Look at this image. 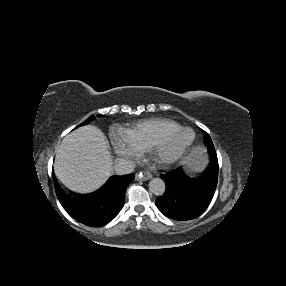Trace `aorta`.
<instances>
[{
	"label": "aorta",
	"instance_id": "1",
	"mask_svg": "<svg viewBox=\"0 0 286 286\" xmlns=\"http://www.w3.org/2000/svg\"><path fill=\"white\" fill-rule=\"evenodd\" d=\"M149 190L151 193L161 196L165 193L166 184L161 178H153L149 182Z\"/></svg>",
	"mask_w": 286,
	"mask_h": 286
}]
</instances>
